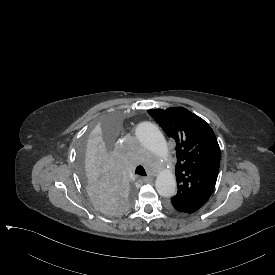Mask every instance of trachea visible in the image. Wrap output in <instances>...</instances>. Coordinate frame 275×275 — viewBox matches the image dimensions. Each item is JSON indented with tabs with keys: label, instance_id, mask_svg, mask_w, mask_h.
Instances as JSON below:
<instances>
[{
	"label": "trachea",
	"instance_id": "trachea-1",
	"mask_svg": "<svg viewBox=\"0 0 275 275\" xmlns=\"http://www.w3.org/2000/svg\"><path fill=\"white\" fill-rule=\"evenodd\" d=\"M135 174L146 176L145 169L142 166H138L135 170Z\"/></svg>",
	"mask_w": 275,
	"mask_h": 275
}]
</instances>
